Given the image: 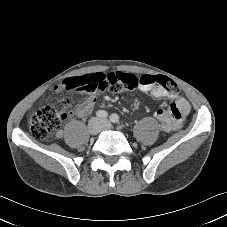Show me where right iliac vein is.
Here are the masks:
<instances>
[{"instance_id": "right-iliac-vein-1", "label": "right iliac vein", "mask_w": 227, "mask_h": 227, "mask_svg": "<svg viewBox=\"0 0 227 227\" xmlns=\"http://www.w3.org/2000/svg\"><path fill=\"white\" fill-rule=\"evenodd\" d=\"M101 123L97 118H93L88 123V131L91 135H97L100 132Z\"/></svg>"}]
</instances>
